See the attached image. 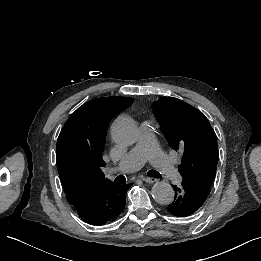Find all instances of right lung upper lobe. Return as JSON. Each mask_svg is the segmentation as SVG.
I'll return each mask as SVG.
<instances>
[{
    "label": "right lung upper lobe",
    "instance_id": "cb5924a9",
    "mask_svg": "<svg viewBox=\"0 0 261 261\" xmlns=\"http://www.w3.org/2000/svg\"><path fill=\"white\" fill-rule=\"evenodd\" d=\"M134 99L103 97L83 104L66 121L57 139L59 175L70 203L75 207L97 187L110 182L100 169L110 120Z\"/></svg>",
    "mask_w": 261,
    "mask_h": 261
}]
</instances>
